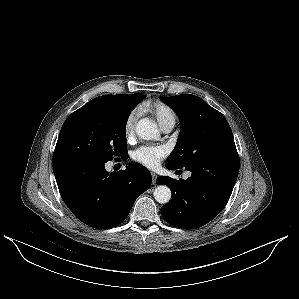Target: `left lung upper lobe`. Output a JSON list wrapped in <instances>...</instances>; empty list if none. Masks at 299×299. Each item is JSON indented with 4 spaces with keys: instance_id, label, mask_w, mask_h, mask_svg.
Segmentation results:
<instances>
[{
    "instance_id": "obj_1",
    "label": "left lung upper lobe",
    "mask_w": 299,
    "mask_h": 299,
    "mask_svg": "<svg viewBox=\"0 0 299 299\" xmlns=\"http://www.w3.org/2000/svg\"><path fill=\"white\" fill-rule=\"evenodd\" d=\"M176 111L181 131L165 165L182 168L209 157L237 151L225 117L203 99L192 94L161 97Z\"/></svg>"
}]
</instances>
